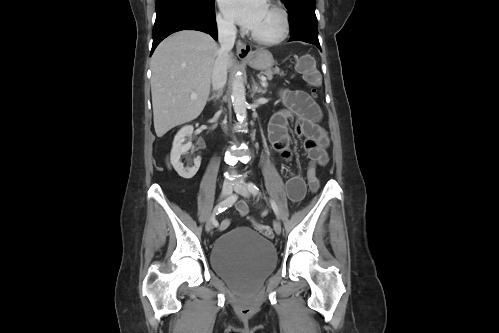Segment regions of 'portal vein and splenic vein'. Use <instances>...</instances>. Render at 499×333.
Returning <instances> with one entry per match:
<instances>
[{"instance_id": "1", "label": "portal vein and splenic vein", "mask_w": 499, "mask_h": 333, "mask_svg": "<svg viewBox=\"0 0 499 333\" xmlns=\"http://www.w3.org/2000/svg\"><path fill=\"white\" fill-rule=\"evenodd\" d=\"M261 80H262L263 84L265 85L266 78H265V77H261ZM191 98H192V99H196V98H197L196 93H192V94H191Z\"/></svg>"}]
</instances>
